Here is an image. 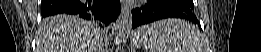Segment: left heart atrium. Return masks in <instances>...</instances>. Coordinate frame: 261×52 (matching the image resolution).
Wrapping results in <instances>:
<instances>
[{"mask_svg":"<svg viewBox=\"0 0 261 52\" xmlns=\"http://www.w3.org/2000/svg\"><path fill=\"white\" fill-rule=\"evenodd\" d=\"M127 3H137L138 1H134V0H128V1H126Z\"/></svg>","mask_w":261,"mask_h":52,"instance_id":"39dd6f15","label":"left heart atrium"}]
</instances>
